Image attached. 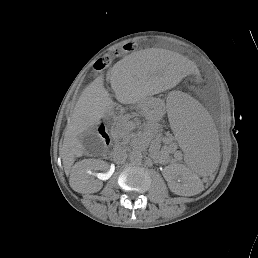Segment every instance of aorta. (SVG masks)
Instances as JSON below:
<instances>
[{
	"instance_id": "obj_1",
	"label": "aorta",
	"mask_w": 258,
	"mask_h": 258,
	"mask_svg": "<svg viewBox=\"0 0 258 258\" xmlns=\"http://www.w3.org/2000/svg\"><path fill=\"white\" fill-rule=\"evenodd\" d=\"M130 160L134 164H139L142 161V154L139 151H132L130 154Z\"/></svg>"
}]
</instances>
